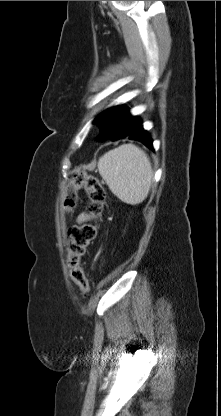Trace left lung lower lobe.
<instances>
[{"mask_svg":"<svg viewBox=\"0 0 221 416\" xmlns=\"http://www.w3.org/2000/svg\"><path fill=\"white\" fill-rule=\"evenodd\" d=\"M126 137L129 140L140 141L146 147L153 150L152 138L150 134L143 129L141 121L137 117H134L133 123L130 127V131Z\"/></svg>","mask_w":221,"mask_h":416,"instance_id":"left-lung-lower-lobe-1","label":"left lung lower lobe"}]
</instances>
